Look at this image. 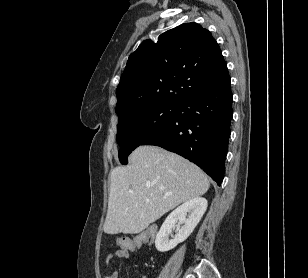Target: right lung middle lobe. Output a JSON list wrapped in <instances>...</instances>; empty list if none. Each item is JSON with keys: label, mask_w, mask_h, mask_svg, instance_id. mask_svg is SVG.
Wrapping results in <instances>:
<instances>
[{"label": "right lung middle lobe", "mask_w": 308, "mask_h": 278, "mask_svg": "<svg viewBox=\"0 0 308 278\" xmlns=\"http://www.w3.org/2000/svg\"><path fill=\"white\" fill-rule=\"evenodd\" d=\"M178 112V105H154L140 109L118 122L117 142L121 146L119 160L127 163L129 154L144 140L172 122Z\"/></svg>", "instance_id": "dd1d6c3e"}]
</instances>
